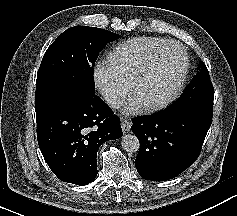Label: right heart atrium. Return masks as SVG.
I'll list each match as a JSON object with an SVG mask.
<instances>
[{
  "label": "right heart atrium",
  "mask_w": 237,
  "mask_h": 216,
  "mask_svg": "<svg viewBox=\"0 0 237 216\" xmlns=\"http://www.w3.org/2000/svg\"><path fill=\"white\" fill-rule=\"evenodd\" d=\"M90 83L100 88L101 93L111 102L120 103L127 95V89L116 83L112 75L104 68H97L90 73Z\"/></svg>",
  "instance_id": "obj_1"
}]
</instances>
